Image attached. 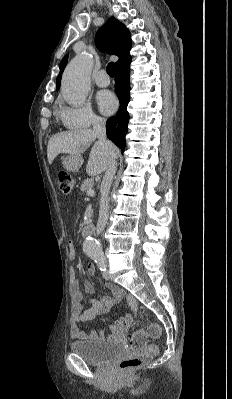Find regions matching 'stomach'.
<instances>
[{"label":"stomach","instance_id":"obj_1","mask_svg":"<svg viewBox=\"0 0 232 399\" xmlns=\"http://www.w3.org/2000/svg\"><path fill=\"white\" fill-rule=\"evenodd\" d=\"M83 164V158L81 154H70L62 160V166L67 172H78Z\"/></svg>","mask_w":232,"mask_h":399}]
</instances>
